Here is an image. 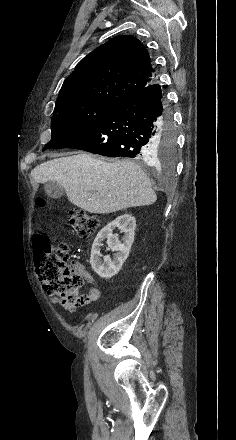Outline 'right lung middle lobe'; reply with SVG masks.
I'll return each mask as SVG.
<instances>
[{
  "label": "right lung middle lobe",
  "mask_w": 236,
  "mask_h": 440,
  "mask_svg": "<svg viewBox=\"0 0 236 440\" xmlns=\"http://www.w3.org/2000/svg\"><path fill=\"white\" fill-rule=\"evenodd\" d=\"M116 106L89 100L56 104L51 120L52 138L43 150L57 147L66 140L86 131ZM175 142L176 138L172 130L160 134L156 145L159 147V156L164 163L172 161Z\"/></svg>",
  "instance_id": "obj_1"
}]
</instances>
